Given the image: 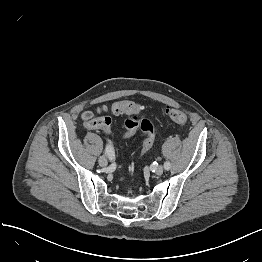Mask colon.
Instances as JSON below:
<instances>
[{
    "label": "colon",
    "mask_w": 262,
    "mask_h": 262,
    "mask_svg": "<svg viewBox=\"0 0 262 262\" xmlns=\"http://www.w3.org/2000/svg\"><path fill=\"white\" fill-rule=\"evenodd\" d=\"M111 113L114 115H127L124 120V131L122 138L128 139L132 137L138 130H141L144 135L142 152L146 153L154 144L156 130L153 123L147 119L139 117L142 106L133 101H116L111 105ZM167 116L176 122L180 127H184L187 123L186 114L172 107L166 109ZM84 125L89 129H109L111 118L108 116L94 117L91 112H84L82 115Z\"/></svg>",
    "instance_id": "obj_1"
}]
</instances>
